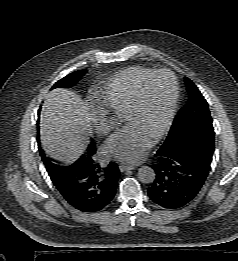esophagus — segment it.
I'll return each mask as SVG.
<instances>
[{
  "label": "esophagus",
  "mask_w": 238,
  "mask_h": 261,
  "mask_svg": "<svg viewBox=\"0 0 238 261\" xmlns=\"http://www.w3.org/2000/svg\"><path fill=\"white\" fill-rule=\"evenodd\" d=\"M119 169L121 172H125V171H128V170H134L135 169V166L133 165H128V164H121L119 166Z\"/></svg>",
  "instance_id": "obj_1"
}]
</instances>
